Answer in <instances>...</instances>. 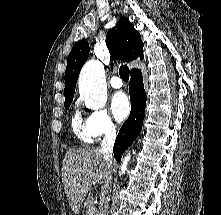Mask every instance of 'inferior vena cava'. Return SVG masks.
Wrapping results in <instances>:
<instances>
[{"mask_svg":"<svg viewBox=\"0 0 221 215\" xmlns=\"http://www.w3.org/2000/svg\"><path fill=\"white\" fill-rule=\"evenodd\" d=\"M116 139V128H110L106 131L105 137L101 144V153L103 157L108 162L112 163L113 159V146ZM108 188V186H107ZM107 191L105 190V193ZM99 215H109V205L106 200H103L101 207H100V214Z\"/></svg>","mask_w":221,"mask_h":215,"instance_id":"obj_1","label":"inferior vena cava"}]
</instances>
